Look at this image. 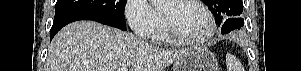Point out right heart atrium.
<instances>
[{"instance_id": "obj_1", "label": "right heart atrium", "mask_w": 301, "mask_h": 71, "mask_svg": "<svg viewBox=\"0 0 301 71\" xmlns=\"http://www.w3.org/2000/svg\"><path fill=\"white\" fill-rule=\"evenodd\" d=\"M125 16L132 31L141 38H150L162 20L147 0H128Z\"/></svg>"}]
</instances>
